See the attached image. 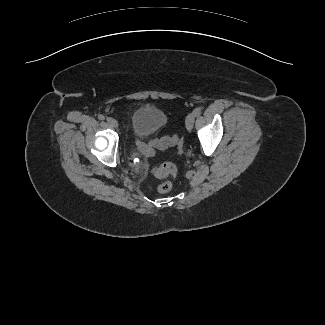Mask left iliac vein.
<instances>
[{"label": "left iliac vein", "instance_id": "1", "mask_svg": "<svg viewBox=\"0 0 325 325\" xmlns=\"http://www.w3.org/2000/svg\"><path fill=\"white\" fill-rule=\"evenodd\" d=\"M194 121H195V114L194 112L189 113L186 117V128L187 130L190 132L193 128L194 125Z\"/></svg>", "mask_w": 325, "mask_h": 325}]
</instances>
